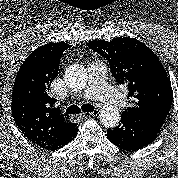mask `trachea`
Instances as JSON below:
<instances>
[{
  "mask_svg": "<svg viewBox=\"0 0 178 178\" xmlns=\"http://www.w3.org/2000/svg\"><path fill=\"white\" fill-rule=\"evenodd\" d=\"M94 110V106L91 104H83L82 107H78L77 105H71L66 109L67 114H78L81 111L83 112H92Z\"/></svg>",
  "mask_w": 178,
  "mask_h": 178,
  "instance_id": "1",
  "label": "trachea"
}]
</instances>
